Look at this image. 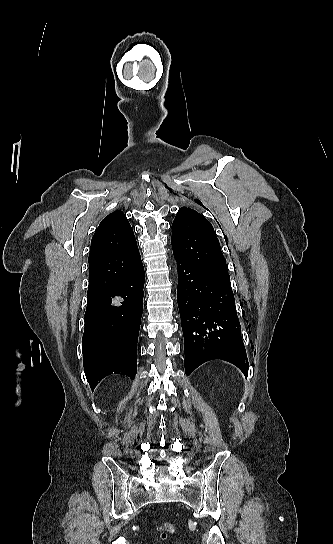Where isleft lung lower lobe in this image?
<instances>
[{
	"mask_svg": "<svg viewBox=\"0 0 333 544\" xmlns=\"http://www.w3.org/2000/svg\"><path fill=\"white\" fill-rule=\"evenodd\" d=\"M174 256L186 375L212 359L228 361L247 375L249 364L233 292L209 272Z\"/></svg>",
	"mask_w": 333,
	"mask_h": 544,
	"instance_id": "left-lung-lower-lobe-1",
	"label": "left lung lower lobe"
}]
</instances>
